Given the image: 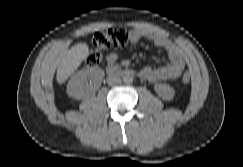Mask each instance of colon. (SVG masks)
<instances>
[{"label":"colon","mask_w":243,"mask_h":167,"mask_svg":"<svg viewBox=\"0 0 243 167\" xmlns=\"http://www.w3.org/2000/svg\"><path fill=\"white\" fill-rule=\"evenodd\" d=\"M132 39V31L129 28H110L98 31L93 36V49L87 56L86 63L90 67H98L104 61V52L112 48L126 46ZM191 77L185 73L182 81L188 84Z\"/></svg>","instance_id":"colon-1"}]
</instances>
